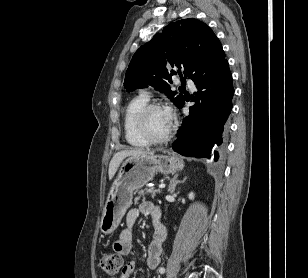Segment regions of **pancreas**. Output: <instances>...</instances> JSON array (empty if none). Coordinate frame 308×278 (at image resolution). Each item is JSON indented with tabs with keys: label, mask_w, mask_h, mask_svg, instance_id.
Segmentation results:
<instances>
[{
	"label": "pancreas",
	"mask_w": 308,
	"mask_h": 278,
	"mask_svg": "<svg viewBox=\"0 0 308 278\" xmlns=\"http://www.w3.org/2000/svg\"><path fill=\"white\" fill-rule=\"evenodd\" d=\"M156 192H160V190H154L153 188L147 187L144 190H141L139 192V195H142L143 197H145L147 194L155 195ZM138 200H139V198H136L135 203H137Z\"/></svg>",
	"instance_id": "1"
}]
</instances>
